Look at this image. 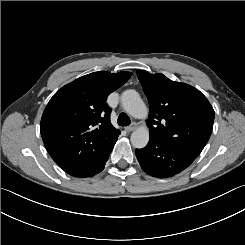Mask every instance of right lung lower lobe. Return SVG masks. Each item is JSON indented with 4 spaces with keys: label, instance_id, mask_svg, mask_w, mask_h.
Masks as SVG:
<instances>
[{
    "label": "right lung lower lobe",
    "instance_id": "1",
    "mask_svg": "<svg viewBox=\"0 0 245 245\" xmlns=\"http://www.w3.org/2000/svg\"><path fill=\"white\" fill-rule=\"evenodd\" d=\"M112 149L113 147L107 153L87 163L81 169L69 175L79 177V178H84V177H92L93 175L98 174L104 169Z\"/></svg>",
    "mask_w": 245,
    "mask_h": 245
}]
</instances>
